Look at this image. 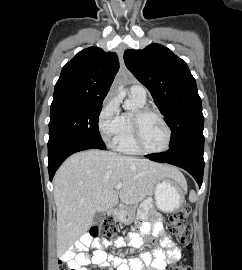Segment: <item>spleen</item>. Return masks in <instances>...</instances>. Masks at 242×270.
<instances>
[{
    "label": "spleen",
    "mask_w": 242,
    "mask_h": 270,
    "mask_svg": "<svg viewBox=\"0 0 242 270\" xmlns=\"http://www.w3.org/2000/svg\"><path fill=\"white\" fill-rule=\"evenodd\" d=\"M189 200L191 202H195L196 201V194L194 191H191L190 194H189Z\"/></svg>",
    "instance_id": "1"
}]
</instances>
